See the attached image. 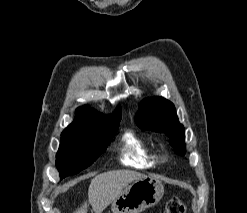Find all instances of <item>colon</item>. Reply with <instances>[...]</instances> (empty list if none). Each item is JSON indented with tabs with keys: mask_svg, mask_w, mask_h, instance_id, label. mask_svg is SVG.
I'll list each match as a JSON object with an SVG mask.
<instances>
[{
	"mask_svg": "<svg viewBox=\"0 0 247 213\" xmlns=\"http://www.w3.org/2000/svg\"><path fill=\"white\" fill-rule=\"evenodd\" d=\"M164 213H186V207L180 198H171L165 207Z\"/></svg>",
	"mask_w": 247,
	"mask_h": 213,
	"instance_id": "1",
	"label": "colon"
}]
</instances>
